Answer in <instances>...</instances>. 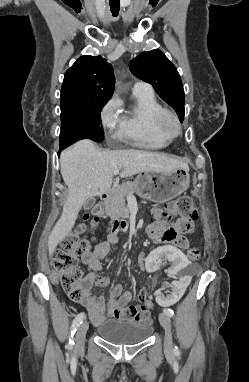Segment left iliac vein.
I'll return each instance as SVG.
<instances>
[{
    "instance_id": "1",
    "label": "left iliac vein",
    "mask_w": 249,
    "mask_h": 382,
    "mask_svg": "<svg viewBox=\"0 0 249 382\" xmlns=\"http://www.w3.org/2000/svg\"><path fill=\"white\" fill-rule=\"evenodd\" d=\"M159 321L165 329L164 348L167 352H170L173 349L170 317L165 313H160Z\"/></svg>"
}]
</instances>
